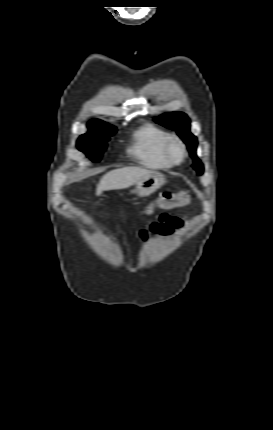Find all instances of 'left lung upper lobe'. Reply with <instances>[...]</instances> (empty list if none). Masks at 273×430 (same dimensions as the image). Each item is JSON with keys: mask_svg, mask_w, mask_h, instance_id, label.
Listing matches in <instances>:
<instances>
[{"mask_svg": "<svg viewBox=\"0 0 273 430\" xmlns=\"http://www.w3.org/2000/svg\"><path fill=\"white\" fill-rule=\"evenodd\" d=\"M155 121L163 126H166L167 128L175 130L178 133V135L187 144L190 151V156L194 160L192 167L198 172L199 175H201L203 173V164L195 154L197 139L193 134H191L189 130L190 121L187 115L182 112L165 113L155 118Z\"/></svg>", "mask_w": 273, "mask_h": 430, "instance_id": "left-lung-upper-lobe-1", "label": "left lung upper lobe"}]
</instances>
